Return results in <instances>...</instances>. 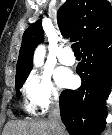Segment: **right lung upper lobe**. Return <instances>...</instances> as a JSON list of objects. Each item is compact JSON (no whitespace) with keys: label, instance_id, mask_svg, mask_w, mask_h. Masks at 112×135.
<instances>
[{"label":"right lung upper lobe","instance_id":"cb5924a9","mask_svg":"<svg viewBox=\"0 0 112 135\" xmlns=\"http://www.w3.org/2000/svg\"><path fill=\"white\" fill-rule=\"evenodd\" d=\"M57 22L62 36L79 41L83 48L112 33V6L107 0H66L57 12ZM43 38L40 19L23 34L16 78L29 75L33 52Z\"/></svg>","mask_w":112,"mask_h":135}]
</instances>
